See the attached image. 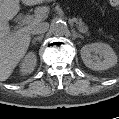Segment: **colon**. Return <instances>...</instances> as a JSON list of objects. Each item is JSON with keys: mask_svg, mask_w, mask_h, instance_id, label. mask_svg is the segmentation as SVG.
Masks as SVG:
<instances>
[{"mask_svg": "<svg viewBox=\"0 0 119 119\" xmlns=\"http://www.w3.org/2000/svg\"><path fill=\"white\" fill-rule=\"evenodd\" d=\"M110 4H111V6H113V7H117L118 4H119V2H118L117 0H110Z\"/></svg>", "mask_w": 119, "mask_h": 119, "instance_id": "5ec220e1", "label": "colon"}]
</instances>
